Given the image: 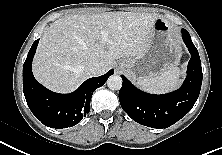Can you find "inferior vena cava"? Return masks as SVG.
Wrapping results in <instances>:
<instances>
[{"instance_id": "602c4592", "label": "inferior vena cava", "mask_w": 222, "mask_h": 155, "mask_svg": "<svg viewBox=\"0 0 222 155\" xmlns=\"http://www.w3.org/2000/svg\"><path fill=\"white\" fill-rule=\"evenodd\" d=\"M86 73L89 76H97L101 73V67L99 63L92 62L86 66Z\"/></svg>"}]
</instances>
